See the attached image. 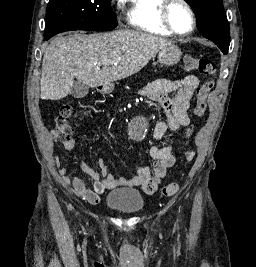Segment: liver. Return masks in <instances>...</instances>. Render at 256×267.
<instances>
[{"mask_svg":"<svg viewBox=\"0 0 256 267\" xmlns=\"http://www.w3.org/2000/svg\"><path fill=\"white\" fill-rule=\"evenodd\" d=\"M167 44L173 42L134 30L55 38L43 56L40 98H66L71 94L74 78L90 88L128 78L147 66ZM102 60L111 64H99ZM99 66L104 68L100 70Z\"/></svg>","mask_w":256,"mask_h":267,"instance_id":"1","label":"liver"}]
</instances>
